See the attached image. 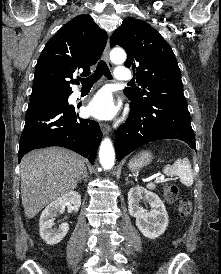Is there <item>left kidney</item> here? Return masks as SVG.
I'll return each mask as SVG.
<instances>
[{"mask_svg": "<svg viewBox=\"0 0 221 274\" xmlns=\"http://www.w3.org/2000/svg\"><path fill=\"white\" fill-rule=\"evenodd\" d=\"M148 202L151 209L146 212L140 202ZM129 214L136 218L139 231L149 239L158 238L168 226V214L161 199L153 192L140 186L132 187L128 192Z\"/></svg>", "mask_w": 221, "mask_h": 274, "instance_id": "5707ae66", "label": "left kidney"}]
</instances>
